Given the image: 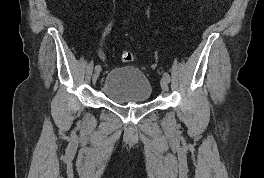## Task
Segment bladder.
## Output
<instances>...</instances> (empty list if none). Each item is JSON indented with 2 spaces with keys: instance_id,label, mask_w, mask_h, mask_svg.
Instances as JSON below:
<instances>
[{
  "instance_id": "bladder-1",
  "label": "bladder",
  "mask_w": 264,
  "mask_h": 178,
  "mask_svg": "<svg viewBox=\"0 0 264 178\" xmlns=\"http://www.w3.org/2000/svg\"><path fill=\"white\" fill-rule=\"evenodd\" d=\"M101 93L117 104H138L150 100L152 86L140 69L117 67L105 76Z\"/></svg>"
}]
</instances>
